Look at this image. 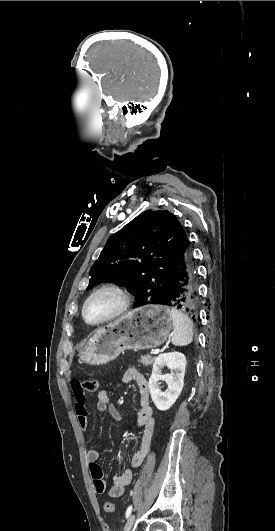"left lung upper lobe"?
Segmentation results:
<instances>
[{"label": "left lung upper lobe", "mask_w": 275, "mask_h": 531, "mask_svg": "<svg viewBox=\"0 0 275 531\" xmlns=\"http://www.w3.org/2000/svg\"><path fill=\"white\" fill-rule=\"evenodd\" d=\"M188 244L172 213L143 212L108 239L91 267L87 290L114 281L135 296L134 307L158 304L167 295Z\"/></svg>", "instance_id": "left-lung-upper-lobe-1"}]
</instances>
